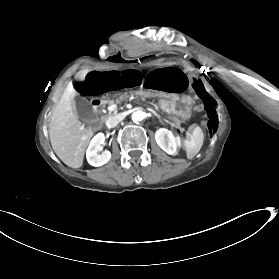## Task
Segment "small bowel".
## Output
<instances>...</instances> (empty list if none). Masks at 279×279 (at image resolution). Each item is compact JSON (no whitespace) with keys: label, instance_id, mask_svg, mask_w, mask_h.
<instances>
[{"label":"small bowel","instance_id":"obj_1","mask_svg":"<svg viewBox=\"0 0 279 279\" xmlns=\"http://www.w3.org/2000/svg\"><path fill=\"white\" fill-rule=\"evenodd\" d=\"M187 77L174 67L157 68L143 78V86L159 93L179 94L186 90Z\"/></svg>","mask_w":279,"mask_h":279}]
</instances>
